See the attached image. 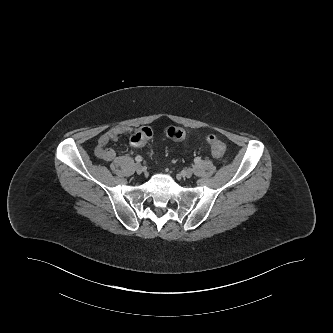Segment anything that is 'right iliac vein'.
Masks as SVG:
<instances>
[{
  "label": "right iliac vein",
  "mask_w": 333,
  "mask_h": 333,
  "mask_svg": "<svg viewBox=\"0 0 333 333\" xmlns=\"http://www.w3.org/2000/svg\"><path fill=\"white\" fill-rule=\"evenodd\" d=\"M135 169H136V172H137L138 174H141V173L143 172V167H142V165H141L140 163H137V164L135 165Z\"/></svg>",
  "instance_id": "63e3f726"
}]
</instances>
